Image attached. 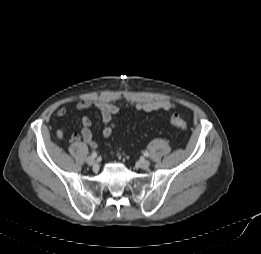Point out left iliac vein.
I'll list each match as a JSON object with an SVG mask.
<instances>
[{
    "label": "left iliac vein",
    "mask_w": 261,
    "mask_h": 254,
    "mask_svg": "<svg viewBox=\"0 0 261 254\" xmlns=\"http://www.w3.org/2000/svg\"><path fill=\"white\" fill-rule=\"evenodd\" d=\"M138 166L141 168V169H148L149 166H150V162L144 158L140 159L139 162H138Z\"/></svg>",
    "instance_id": "4c4485c4"
}]
</instances>
